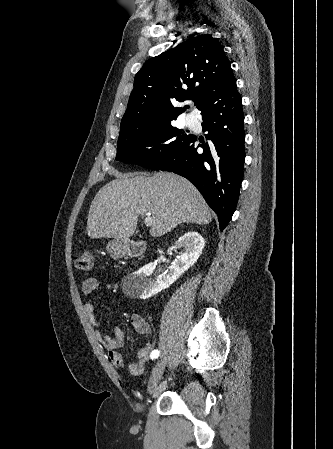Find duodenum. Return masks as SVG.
<instances>
[{"label": "duodenum", "mask_w": 333, "mask_h": 449, "mask_svg": "<svg viewBox=\"0 0 333 449\" xmlns=\"http://www.w3.org/2000/svg\"><path fill=\"white\" fill-rule=\"evenodd\" d=\"M116 253L120 257L141 259L144 256L145 247L142 243L125 240L118 244Z\"/></svg>", "instance_id": "obj_1"}]
</instances>
